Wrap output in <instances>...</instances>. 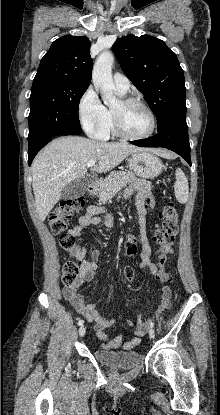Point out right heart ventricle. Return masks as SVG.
Wrapping results in <instances>:
<instances>
[{
    "label": "right heart ventricle",
    "instance_id": "obj_1",
    "mask_svg": "<svg viewBox=\"0 0 220 415\" xmlns=\"http://www.w3.org/2000/svg\"><path fill=\"white\" fill-rule=\"evenodd\" d=\"M109 115H110V120H109V124L107 126L106 132L104 134V136L101 139H106L111 135H116V132L114 130V125H113V117L111 112L109 111Z\"/></svg>",
    "mask_w": 220,
    "mask_h": 415
}]
</instances>
